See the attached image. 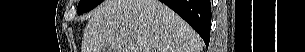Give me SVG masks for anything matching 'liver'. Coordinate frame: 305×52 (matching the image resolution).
<instances>
[{
  "label": "liver",
  "instance_id": "1",
  "mask_svg": "<svg viewBox=\"0 0 305 52\" xmlns=\"http://www.w3.org/2000/svg\"><path fill=\"white\" fill-rule=\"evenodd\" d=\"M84 29L82 52H201L200 36L158 0H105Z\"/></svg>",
  "mask_w": 305,
  "mask_h": 52
}]
</instances>
